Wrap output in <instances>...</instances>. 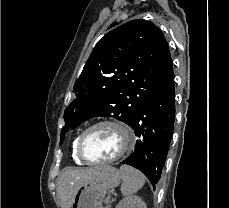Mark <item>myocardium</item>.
Instances as JSON below:
<instances>
[{
    "label": "myocardium",
    "mask_w": 229,
    "mask_h": 208,
    "mask_svg": "<svg viewBox=\"0 0 229 208\" xmlns=\"http://www.w3.org/2000/svg\"><path fill=\"white\" fill-rule=\"evenodd\" d=\"M114 126L116 128H119L120 130L116 131L117 135H122L123 133L125 134L126 138H120V146L123 147V149L114 157H111V160H88V157H86V154L84 153V148H85V138L87 134L92 131L93 129H96L101 126ZM134 136L132 132L121 122L116 121V120H101L98 121L89 127H87L79 136L78 143H77V158H82L85 162L91 163V164H107V163H112L115 162L122 157H124L134 146ZM126 143V144H125Z\"/></svg>",
    "instance_id": "1"
}]
</instances>
